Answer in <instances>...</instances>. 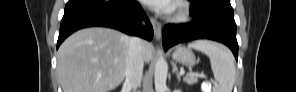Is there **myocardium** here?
Listing matches in <instances>:
<instances>
[{"label":"myocardium","instance_id":"myocardium-1","mask_svg":"<svg viewBox=\"0 0 296 92\" xmlns=\"http://www.w3.org/2000/svg\"><path fill=\"white\" fill-rule=\"evenodd\" d=\"M188 17H189V9L187 5L182 2L177 3L172 19L174 21H184Z\"/></svg>","mask_w":296,"mask_h":92}]
</instances>
